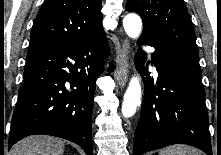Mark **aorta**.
<instances>
[{
    "label": "aorta",
    "instance_id": "1",
    "mask_svg": "<svg viewBox=\"0 0 221 155\" xmlns=\"http://www.w3.org/2000/svg\"><path fill=\"white\" fill-rule=\"evenodd\" d=\"M123 27L127 35L131 38H138L142 31L141 18L134 13L127 14L123 19ZM141 102V85L138 76L131 78L128 88L124 94L122 103V114L125 118L132 117L137 106Z\"/></svg>",
    "mask_w": 221,
    "mask_h": 155
}]
</instances>
